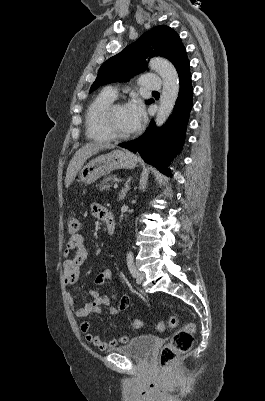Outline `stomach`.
Listing matches in <instances>:
<instances>
[{"label":"stomach","instance_id":"stomach-1","mask_svg":"<svg viewBox=\"0 0 265 401\" xmlns=\"http://www.w3.org/2000/svg\"><path fill=\"white\" fill-rule=\"evenodd\" d=\"M139 158L129 150H112L107 154H100L86 162L80 170V180L83 184H92L100 176L109 174L115 168H134Z\"/></svg>","mask_w":265,"mask_h":401}]
</instances>
